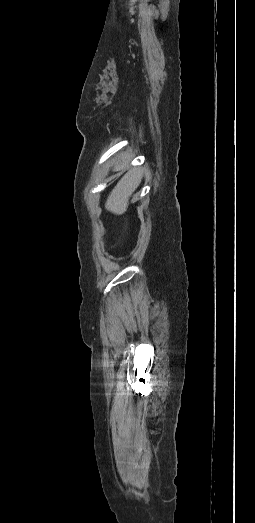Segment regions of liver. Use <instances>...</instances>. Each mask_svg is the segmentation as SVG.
Wrapping results in <instances>:
<instances>
[{
    "mask_svg": "<svg viewBox=\"0 0 255 523\" xmlns=\"http://www.w3.org/2000/svg\"><path fill=\"white\" fill-rule=\"evenodd\" d=\"M127 164H129V162L115 166L114 172L125 170ZM142 174L143 170H140V168H132V170H129V172L119 180L117 186L110 192L106 200L105 208L108 212H112V214H116V216H122V214L127 212L129 198L133 192H135L136 188H138L139 184H141Z\"/></svg>",
    "mask_w": 255,
    "mask_h": 523,
    "instance_id": "obj_1",
    "label": "liver"
}]
</instances>
